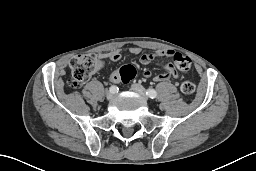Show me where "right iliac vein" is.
Segmentation results:
<instances>
[{"mask_svg": "<svg viewBox=\"0 0 256 171\" xmlns=\"http://www.w3.org/2000/svg\"><path fill=\"white\" fill-rule=\"evenodd\" d=\"M114 93L112 91H108L106 94L107 100H111L113 98Z\"/></svg>", "mask_w": 256, "mask_h": 171, "instance_id": "right-iliac-vein-1", "label": "right iliac vein"}]
</instances>
